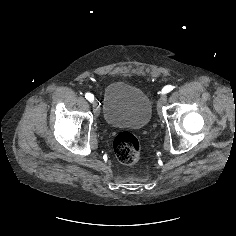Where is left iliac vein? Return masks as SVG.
I'll return each mask as SVG.
<instances>
[{"mask_svg": "<svg viewBox=\"0 0 236 236\" xmlns=\"http://www.w3.org/2000/svg\"><path fill=\"white\" fill-rule=\"evenodd\" d=\"M166 102H167V96L166 95L161 96L157 102V107L159 112L161 111L162 106L166 104Z\"/></svg>", "mask_w": 236, "mask_h": 236, "instance_id": "obj_1", "label": "left iliac vein"}]
</instances>
